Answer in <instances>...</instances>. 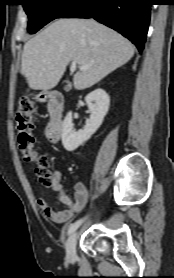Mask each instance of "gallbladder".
Instances as JSON below:
<instances>
[{"label": "gallbladder", "mask_w": 174, "mask_h": 278, "mask_svg": "<svg viewBox=\"0 0 174 278\" xmlns=\"http://www.w3.org/2000/svg\"><path fill=\"white\" fill-rule=\"evenodd\" d=\"M65 88H66V89H68V88H69V86L67 85Z\"/></svg>", "instance_id": "bac80fb5"}]
</instances>
